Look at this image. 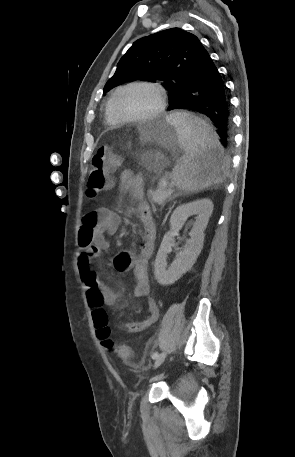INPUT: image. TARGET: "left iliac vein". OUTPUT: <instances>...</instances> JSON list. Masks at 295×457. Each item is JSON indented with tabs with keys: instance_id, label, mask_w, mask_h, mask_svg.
Returning <instances> with one entry per match:
<instances>
[{
	"instance_id": "1",
	"label": "left iliac vein",
	"mask_w": 295,
	"mask_h": 457,
	"mask_svg": "<svg viewBox=\"0 0 295 457\" xmlns=\"http://www.w3.org/2000/svg\"><path fill=\"white\" fill-rule=\"evenodd\" d=\"M165 357H166V353L165 352L160 353L158 355V357L155 359L154 368L159 367L163 363V361L165 360Z\"/></svg>"
}]
</instances>
